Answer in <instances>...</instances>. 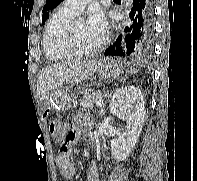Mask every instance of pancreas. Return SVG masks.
Here are the masks:
<instances>
[{"mask_svg":"<svg viewBox=\"0 0 197 181\" xmlns=\"http://www.w3.org/2000/svg\"><path fill=\"white\" fill-rule=\"evenodd\" d=\"M102 94L100 92H93L92 94H86L80 100V106L83 108H93L98 100L102 99Z\"/></svg>","mask_w":197,"mask_h":181,"instance_id":"obj_1","label":"pancreas"}]
</instances>
